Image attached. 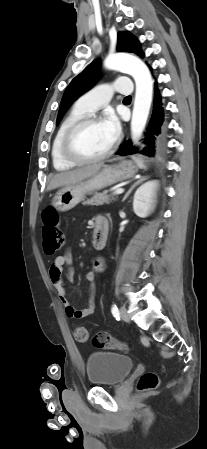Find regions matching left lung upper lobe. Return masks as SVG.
I'll return each instance as SVG.
<instances>
[{
  "label": "left lung upper lobe",
  "instance_id": "1",
  "mask_svg": "<svg viewBox=\"0 0 207 449\" xmlns=\"http://www.w3.org/2000/svg\"><path fill=\"white\" fill-rule=\"evenodd\" d=\"M117 50L143 56L139 41L127 31L118 33ZM98 74L99 61H94L71 81L61 100L57 124L61 121L71 104L94 86L98 79Z\"/></svg>",
  "mask_w": 207,
  "mask_h": 449
}]
</instances>
